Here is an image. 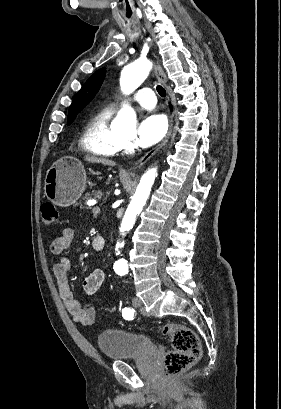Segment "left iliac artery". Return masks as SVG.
<instances>
[{
  "label": "left iliac artery",
  "mask_w": 281,
  "mask_h": 409,
  "mask_svg": "<svg viewBox=\"0 0 281 409\" xmlns=\"http://www.w3.org/2000/svg\"><path fill=\"white\" fill-rule=\"evenodd\" d=\"M122 315L126 320H132L134 317V310L130 308H124L122 310Z\"/></svg>",
  "instance_id": "1"
}]
</instances>
